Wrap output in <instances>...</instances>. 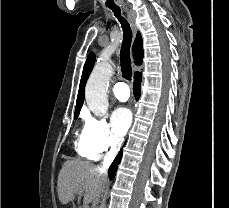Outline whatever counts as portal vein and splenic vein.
Listing matches in <instances>:
<instances>
[{
  "mask_svg": "<svg viewBox=\"0 0 229 208\" xmlns=\"http://www.w3.org/2000/svg\"><path fill=\"white\" fill-rule=\"evenodd\" d=\"M85 208H89V206H85Z\"/></svg>",
  "mask_w": 229,
  "mask_h": 208,
  "instance_id": "1",
  "label": "portal vein and splenic vein"
}]
</instances>
